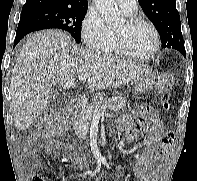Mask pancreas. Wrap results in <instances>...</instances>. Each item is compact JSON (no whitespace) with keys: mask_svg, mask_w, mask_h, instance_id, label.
Returning a JSON list of instances; mask_svg holds the SVG:
<instances>
[{"mask_svg":"<svg viewBox=\"0 0 197 181\" xmlns=\"http://www.w3.org/2000/svg\"><path fill=\"white\" fill-rule=\"evenodd\" d=\"M125 106L126 100L121 96L104 99L102 93H96L93 101L84 104L81 111L71 119L75 134L83 140L86 139L95 109H99L101 115H105L107 111H118Z\"/></svg>","mask_w":197,"mask_h":181,"instance_id":"obj_1","label":"pancreas"}]
</instances>
